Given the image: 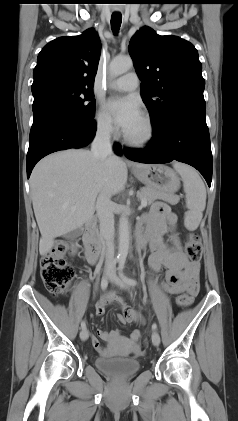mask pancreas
<instances>
[{
  "label": "pancreas",
  "mask_w": 238,
  "mask_h": 421,
  "mask_svg": "<svg viewBox=\"0 0 238 421\" xmlns=\"http://www.w3.org/2000/svg\"><path fill=\"white\" fill-rule=\"evenodd\" d=\"M138 198L141 202L145 200L148 205L152 204L157 199L164 200L171 204H175L176 202V198L172 195L150 187L142 188L138 194Z\"/></svg>",
  "instance_id": "cf45deb5"
}]
</instances>
